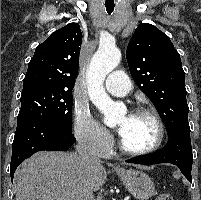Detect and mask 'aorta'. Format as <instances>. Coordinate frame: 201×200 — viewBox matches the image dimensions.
Instances as JSON below:
<instances>
[{
    "label": "aorta",
    "mask_w": 201,
    "mask_h": 200,
    "mask_svg": "<svg viewBox=\"0 0 201 200\" xmlns=\"http://www.w3.org/2000/svg\"><path fill=\"white\" fill-rule=\"evenodd\" d=\"M121 60V52L113 42L100 43L93 55L86 73L88 93L92 103L104 114L105 123L118 119L115 103L103 88L105 77L115 69Z\"/></svg>",
    "instance_id": "aorta-1"
}]
</instances>
